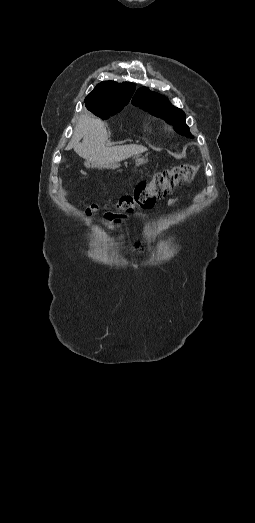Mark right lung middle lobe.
Segmentation results:
<instances>
[{
    "label": "right lung middle lobe",
    "instance_id": "1",
    "mask_svg": "<svg viewBox=\"0 0 255 523\" xmlns=\"http://www.w3.org/2000/svg\"><path fill=\"white\" fill-rule=\"evenodd\" d=\"M128 104V101L126 102H118V103H106V104H96L87 107L89 111H91L96 116L107 119L110 116L115 115L117 112L121 111L125 105Z\"/></svg>",
    "mask_w": 255,
    "mask_h": 523
}]
</instances>
